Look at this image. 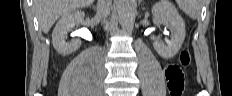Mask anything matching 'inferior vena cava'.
<instances>
[{"label": "inferior vena cava", "instance_id": "1", "mask_svg": "<svg viewBox=\"0 0 232 96\" xmlns=\"http://www.w3.org/2000/svg\"><path fill=\"white\" fill-rule=\"evenodd\" d=\"M111 0H98L97 16L101 19H105L110 13Z\"/></svg>", "mask_w": 232, "mask_h": 96}]
</instances>
